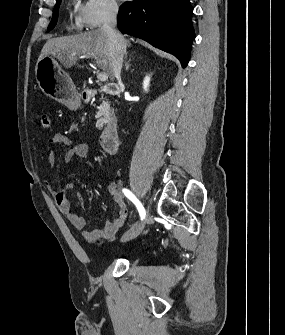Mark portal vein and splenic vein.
<instances>
[{"label":"portal vein and splenic vein","instance_id":"18ae733b","mask_svg":"<svg viewBox=\"0 0 285 335\" xmlns=\"http://www.w3.org/2000/svg\"><path fill=\"white\" fill-rule=\"evenodd\" d=\"M97 80H99V82H106L108 76H106V74H97Z\"/></svg>","mask_w":285,"mask_h":335}]
</instances>
